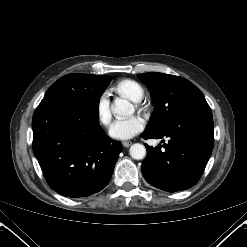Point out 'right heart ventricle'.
Returning <instances> with one entry per match:
<instances>
[{
    "mask_svg": "<svg viewBox=\"0 0 247 247\" xmlns=\"http://www.w3.org/2000/svg\"><path fill=\"white\" fill-rule=\"evenodd\" d=\"M114 90L134 102L140 101L144 95L142 86L131 79H123L117 82L114 86Z\"/></svg>",
    "mask_w": 247,
    "mask_h": 247,
    "instance_id": "1",
    "label": "right heart ventricle"
}]
</instances>
